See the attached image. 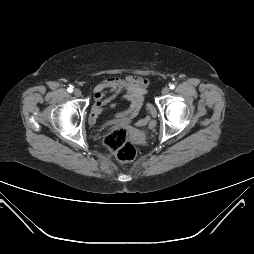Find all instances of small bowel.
Returning <instances> with one entry per match:
<instances>
[{"mask_svg":"<svg viewBox=\"0 0 254 254\" xmlns=\"http://www.w3.org/2000/svg\"><path fill=\"white\" fill-rule=\"evenodd\" d=\"M148 86L149 80L137 75H128L123 79L117 77L104 79L93 90V105L89 116L90 123L95 124L98 116L105 109L113 108L115 99L120 94H123V97L130 102V106L125 112L118 113L116 116L118 118H132L140 110ZM155 115V110L149 107V116L146 121H150L151 117H155ZM150 126H153L151 121Z\"/></svg>","mask_w":254,"mask_h":254,"instance_id":"obj_1","label":"small bowel"}]
</instances>
